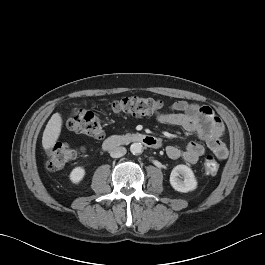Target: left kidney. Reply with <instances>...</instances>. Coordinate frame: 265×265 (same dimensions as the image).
Segmentation results:
<instances>
[{"label": "left kidney", "instance_id": "1", "mask_svg": "<svg viewBox=\"0 0 265 265\" xmlns=\"http://www.w3.org/2000/svg\"><path fill=\"white\" fill-rule=\"evenodd\" d=\"M170 184L178 192H189L197 188V180L191 168L177 165L170 174Z\"/></svg>", "mask_w": 265, "mask_h": 265}]
</instances>
